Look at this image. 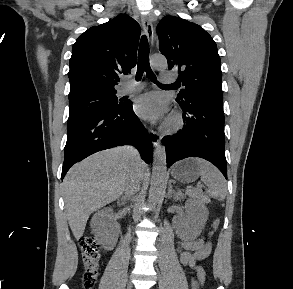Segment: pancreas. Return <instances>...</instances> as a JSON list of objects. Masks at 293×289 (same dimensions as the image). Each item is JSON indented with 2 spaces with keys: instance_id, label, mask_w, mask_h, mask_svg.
Wrapping results in <instances>:
<instances>
[{
  "instance_id": "pancreas-1",
  "label": "pancreas",
  "mask_w": 293,
  "mask_h": 289,
  "mask_svg": "<svg viewBox=\"0 0 293 289\" xmlns=\"http://www.w3.org/2000/svg\"><path fill=\"white\" fill-rule=\"evenodd\" d=\"M186 194L193 200L197 202H208V197L203 193V191L200 188H194L191 190H187ZM178 196H181V193H176V198Z\"/></svg>"
}]
</instances>
